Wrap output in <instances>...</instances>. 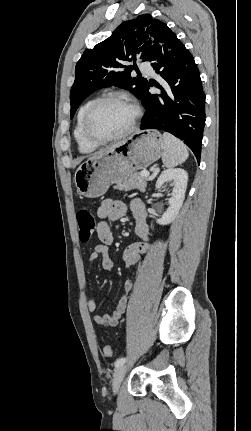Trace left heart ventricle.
<instances>
[{
    "label": "left heart ventricle",
    "mask_w": 251,
    "mask_h": 431,
    "mask_svg": "<svg viewBox=\"0 0 251 431\" xmlns=\"http://www.w3.org/2000/svg\"><path fill=\"white\" fill-rule=\"evenodd\" d=\"M134 117L133 108L121 101H109L99 107L90 123L91 132L100 138L115 136L125 131Z\"/></svg>",
    "instance_id": "left-heart-ventricle-1"
}]
</instances>
